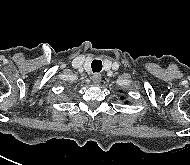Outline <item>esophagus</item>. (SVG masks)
Wrapping results in <instances>:
<instances>
[{
	"label": "esophagus",
	"instance_id": "esophagus-1",
	"mask_svg": "<svg viewBox=\"0 0 190 165\" xmlns=\"http://www.w3.org/2000/svg\"><path fill=\"white\" fill-rule=\"evenodd\" d=\"M92 81L94 84H99L101 81V75L99 73H94L92 75Z\"/></svg>",
	"mask_w": 190,
	"mask_h": 165
}]
</instances>
